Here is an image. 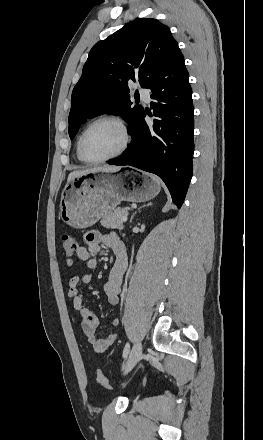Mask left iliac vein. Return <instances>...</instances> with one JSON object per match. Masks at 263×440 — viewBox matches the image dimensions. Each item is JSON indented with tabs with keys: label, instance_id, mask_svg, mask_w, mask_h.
<instances>
[{
	"label": "left iliac vein",
	"instance_id": "1",
	"mask_svg": "<svg viewBox=\"0 0 263 440\" xmlns=\"http://www.w3.org/2000/svg\"><path fill=\"white\" fill-rule=\"evenodd\" d=\"M142 354V344L141 342L137 341L134 346L132 347V350L130 352V355L123 365V372L124 374L128 373L139 361Z\"/></svg>",
	"mask_w": 263,
	"mask_h": 440
}]
</instances>
